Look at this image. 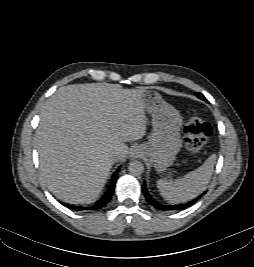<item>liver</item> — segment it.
Wrapping results in <instances>:
<instances>
[{
	"label": "liver",
	"mask_w": 254,
	"mask_h": 267,
	"mask_svg": "<svg viewBox=\"0 0 254 267\" xmlns=\"http://www.w3.org/2000/svg\"><path fill=\"white\" fill-rule=\"evenodd\" d=\"M145 89L73 84L46 101L35 134L40 180L59 199L89 204L98 198L116 154L124 160L126 142L146 134Z\"/></svg>",
	"instance_id": "liver-1"
}]
</instances>
